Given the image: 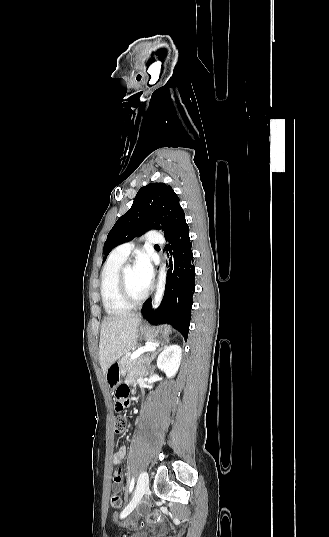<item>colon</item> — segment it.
I'll use <instances>...</instances> for the list:
<instances>
[{
  "mask_svg": "<svg viewBox=\"0 0 329 537\" xmlns=\"http://www.w3.org/2000/svg\"><path fill=\"white\" fill-rule=\"evenodd\" d=\"M130 391V390H129ZM127 427V421L122 416H116L114 420V432L116 435L122 434ZM110 505L112 508L118 510L122 506V499L118 493H113L110 497ZM161 521V514L158 511L151 512L147 515L145 522L147 524H157ZM138 523L131 521L129 526L136 527ZM133 531H137V528H133Z\"/></svg>",
  "mask_w": 329,
  "mask_h": 537,
  "instance_id": "5ec220e1",
  "label": "colon"
}]
</instances>
